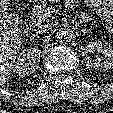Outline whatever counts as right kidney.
Masks as SVG:
<instances>
[{"mask_svg": "<svg viewBox=\"0 0 113 113\" xmlns=\"http://www.w3.org/2000/svg\"><path fill=\"white\" fill-rule=\"evenodd\" d=\"M40 50L37 47L23 50L17 59L14 72L18 76L24 77L32 74L38 68L40 60Z\"/></svg>", "mask_w": 113, "mask_h": 113, "instance_id": "1", "label": "right kidney"}]
</instances>
